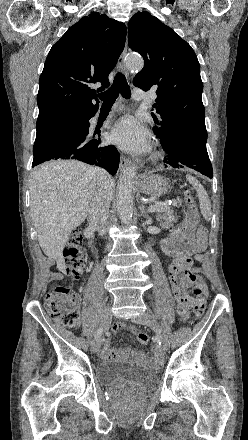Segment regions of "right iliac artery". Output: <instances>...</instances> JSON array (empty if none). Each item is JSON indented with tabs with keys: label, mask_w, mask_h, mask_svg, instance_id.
Here are the masks:
<instances>
[{
	"label": "right iliac artery",
	"mask_w": 248,
	"mask_h": 440,
	"mask_svg": "<svg viewBox=\"0 0 248 440\" xmlns=\"http://www.w3.org/2000/svg\"><path fill=\"white\" fill-rule=\"evenodd\" d=\"M101 334H102V329H101V327H100V328L97 330L96 334H95V339L98 338V337H100Z\"/></svg>",
	"instance_id": "right-iliac-artery-1"
}]
</instances>
